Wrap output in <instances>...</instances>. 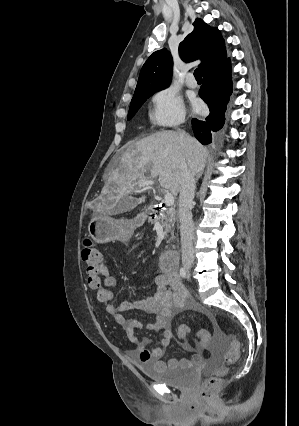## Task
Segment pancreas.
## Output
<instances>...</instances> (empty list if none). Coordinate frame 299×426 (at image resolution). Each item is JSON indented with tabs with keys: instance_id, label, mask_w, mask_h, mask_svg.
Masks as SVG:
<instances>
[{
	"instance_id": "pancreas-1",
	"label": "pancreas",
	"mask_w": 299,
	"mask_h": 426,
	"mask_svg": "<svg viewBox=\"0 0 299 426\" xmlns=\"http://www.w3.org/2000/svg\"><path fill=\"white\" fill-rule=\"evenodd\" d=\"M156 213V211H153ZM156 220L160 221L161 225L165 229V236L168 239L167 242L174 238V225L176 222V211L174 208L170 207L167 209H161L159 215L156 217Z\"/></svg>"
}]
</instances>
